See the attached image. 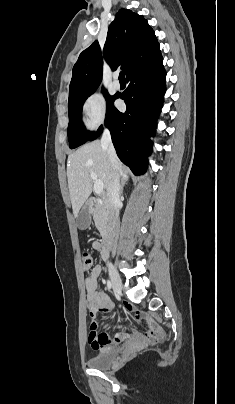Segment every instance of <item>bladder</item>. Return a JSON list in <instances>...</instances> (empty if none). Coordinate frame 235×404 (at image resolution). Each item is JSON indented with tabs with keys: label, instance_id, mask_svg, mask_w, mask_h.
<instances>
[{
	"label": "bladder",
	"instance_id": "31cf9c89",
	"mask_svg": "<svg viewBox=\"0 0 235 404\" xmlns=\"http://www.w3.org/2000/svg\"><path fill=\"white\" fill-rule=\"evenodd\" d=\"M121 358V351L116 347H107L99 350L97 354L88 361L89 366L98 370H105L112 367Z\"/></svg>",
	"mask_w": 235,
	"mask_h": 404
}]
</instances>
